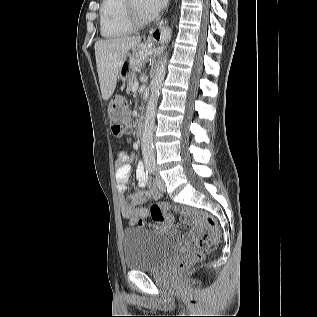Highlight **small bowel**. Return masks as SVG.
<instances>
[{"instance_id": "obj_1", "label": "small bowel", "mask_w": 317, "mask_h": 317, "mask_svg": "<svg viewBox=\"0 0 317 317\" xmlns=\"http://www.w3.org/2000/svg\"><path fill=\"white\" fill-rule=\"evenodd\" d=\"M131 158L127 154L121 152L118 156L116 165V183L118 191L124 194L127 191V186L131 174ZM136 176L138 185L144 187L148 181V178L144 172L142 166H138L136 170ZM149 197L158 198L160 196L156 187L150 186L148 190ZM145 198L141 196H128L123 197L121 200V215L124 219H130L132 221L145 220L148 217V210L146 207L136 208L137 205L143 203ZM157 230L163 234H174V228L170 221H167L165 225L157 227ZM197 233L196 230H192L189 236H194Z\"/></svg>"}]
</instances>
